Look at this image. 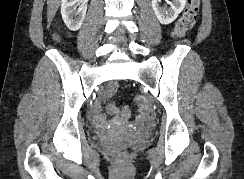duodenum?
Instances as JSON below:
<instances>
[{
    "instance_id": "410a0bca",
    "label": "duodenum",
    "mask_w": 244,
    "mask_h": 179,
    "mask_svg": "<svg viewBox=\"0 0 244 179\" xmlns=\"http://www.w3.org/2000/svg\"><path fill=\"white\" fill-rule=\"evenodd\" d=\"M114 88H115V86H112V87H111V89H114Z\"/></svg>"
}]
</instances>
